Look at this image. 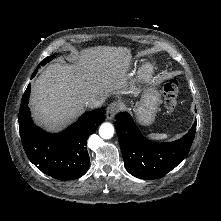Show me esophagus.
<instances>
[{
	"label": "esophagus",
	"mask_w": 221,
	"mask_h": 221,
	"mask_svg": "<svg viewBox=\"0 0 221 221\" xmlns=\"http://www.w3.org/2000/svg\"><path fill=\"white\" fill-rule=\"evenodd\" d=\"M120 110V105L116 102L111 103L108 107H107V111H106V118L108 120H112L115 115L119 112Z\"/></svg>",
	"instance_id": "obj_1"
}]
</instances>
